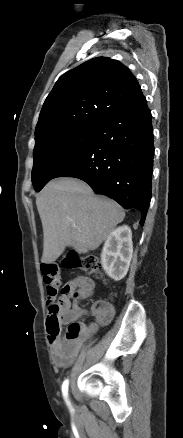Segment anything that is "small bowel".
<instances>
[{"label": "small bowel", "mask_w": 183, "mask_h": 438, "mask_svg": "<svg viewBox=\"0 0 183 438\" xmlns=\"http://www.w3.org/2000/svg\"><path fill=\"white\" fill-rule=\"evenodd\" d=\"M65 287L70 290L72 295L77 296L79 299H85L93 294L95 284L89 277L78 276L69 281ZM91 314L95 317V322L88 326L82 325V333L77 339L67 340L65 337H61L60 334L57 336L49 334L48 339L52 356L57 366L64 367L70 365L79 354L89 335L98 327L105 326L111 321L114 315V309L112 305L106 301H96L91 307ZM87 315V310L81 308L79 305H71L68 299L62 310V323L69 324Z\"/></svg>", "instance_id": "small-bowel-1"}]
</instances>
